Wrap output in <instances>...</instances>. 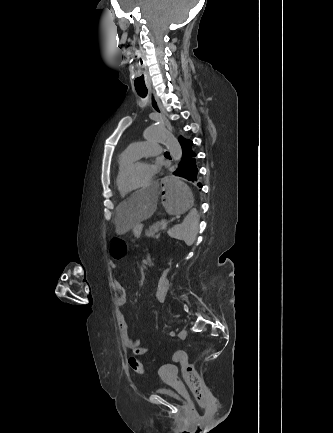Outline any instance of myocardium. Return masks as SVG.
<instances>
[{"label": "myocardium", "mask_w": 333, "mask_h": 433, "mask_svg": "<svg viewBox=\"0 0 333 433\" xmlns=\"http://www.w3.org/2000/svg\"><path fill=\"white\" fill-rule=\"evenodd\" d=\"M146 160L143 159H136L133 162H131L130 164H128L122 171L120 177H119V188L122 192L129 194V193H133V192H138L141 189L147 188L148 186L151 185V180H148L147 182H145L144 184L135 187V188H128L125 185V178L127 177V175L137 166L140 164H146Z\"/></svg>", "instance_id": "obj_1"}]
</instances>
